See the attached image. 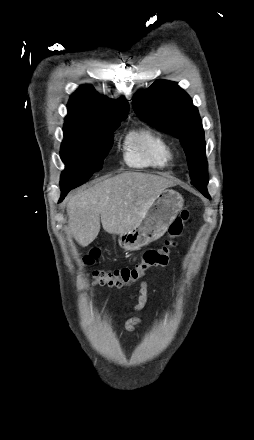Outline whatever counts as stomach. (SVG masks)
Listing matches in <instances>:
<instances>
[{"label": "stomach", "mask_w": 254, "mask_h": 440, "mask_svg": "<svg viewBox=\"0 0 254 440\" xmlns=\"http://www.w3.org/2000/svg\"><path fill=\"white\" fill-rule=\"evenodd\" d=\"M183 197L172 189L162 190L152 201L145 217L133 229L119 235L118 243L126 251L141 247L159 239L183 208Z\"/></svg>", "instance_id": "obj_1"}]
</instances>
